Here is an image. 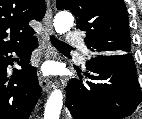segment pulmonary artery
<instances>
[{
	"mask_svg": "<svg viewBox=\"0 0 142 119\" xmlns=\"http://www.w3.org/2000/svg\"><path fill=\"white\" fill-rule=\"evenodd\" d=\"M66 43L68 45L82 46L85 49L83 39H82L81 35L77 32L68 33L67 38H66Z\"/></svg>",
	"mask_w": 142,
	"mask_h": 119,
	"instance_id": "obj_1",
	"label": "pulmonary artery"
}]
</instances>
